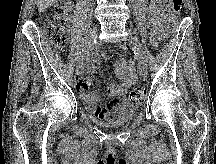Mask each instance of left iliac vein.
Listing matches in <instances>:
<instances>
[{
	"instance_id": "left-iliac-vein-1",
	"label": "left iliac vein",
	"mask_w": 216,
	"mask_h": 164,
	"mask_svg": "<svg viewBox=\"0 0 216 164\" xmlns=\"http://www.w3.org/2000/svg\"><path fill=\"white\" fill-rule=\"evenodd\" d=\"M128 32H129V36H128L129 43L131 44L132 48H136L137 52L140 53L139 60H141V65H139V71H140V75L144 77L147 73V65L144 60L145 54H144L143 47L140 41L138 40L137 36H135L134 33L132 32V30L128 29Z\"/></svg>"
}]
</instances>
